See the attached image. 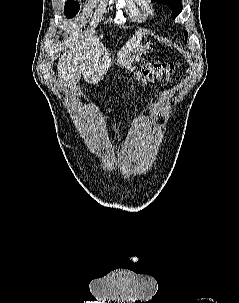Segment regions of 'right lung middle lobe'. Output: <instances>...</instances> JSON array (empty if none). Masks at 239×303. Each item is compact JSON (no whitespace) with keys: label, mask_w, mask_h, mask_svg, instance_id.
Instances as JSON below:
<instances>
[{"label":"right lung middle lobe","mask_w":239,"mask_h":303,"mask_svg":"<svg viewBox=\"0 0 239 303\" xmlns=\"http://www.w3.org/2000/svg\"><path fill=\"white\" fill-rule=\"evenodd\" d=\"M80 5L74 1H67L65 5V15L67 18H73L79 11Z\"/></svg>","instance_id":"1"}]
</instances>
